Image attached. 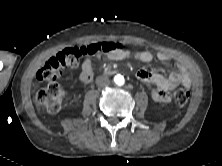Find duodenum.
Instances as JSON below:
<instances>
[{
  "mask_svg": "<svg viewBox=\"0 0 222 166\" xmlns=\"http://www.w3.org/2000/svg\"><path fill=\"white\" fill-rule=\"evenodd\" d=\"M105 73H106V74H112V73H114V72H113L112 70H106Z\"/></svg>",
  "mask_w": 222,
  "mask_h": 166,
  "instance_id": "duodenum-1",
  "label": "duodenum"
}]
</instances>
